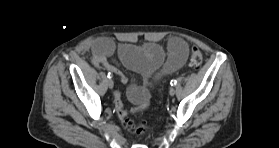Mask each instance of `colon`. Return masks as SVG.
I'll list each match as a JSON object with an SVG mask.
<instances>
[{
	"label": "colon",
	"mask_w": 279,
	"mask_h": 148,
	"mask_svg": "<svg viewBox=\"0 0 279 148\" xmlns=\"http://www.w3.org/2000/svg\"><path fill=\"white\" fill-rule=\"evenodd\" d=\"M189 60H190V65L193 68H195V69L200 68L202 61H203V56L198 48H196V47L191 48ZM123 125L128 131H130L136 135L147 134L153 128L151 125H149L146 122H136L131 118H124Z\"/></svg>",
	"instance_id": "colon-1"
}]
</instances>
